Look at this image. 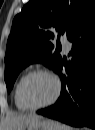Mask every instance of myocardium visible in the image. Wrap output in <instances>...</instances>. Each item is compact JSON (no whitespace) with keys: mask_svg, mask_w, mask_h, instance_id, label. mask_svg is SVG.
I'll return each instance as SVG.
<instances>
[{"mask_svg":"<svg viewBox=\"0 0 95 130\" xmlns=\"http://www.w3.org/2000/svg\"><path fill=\"white\" fill-rule=\"evenodd\" d=\"M37 74H43V75H46L48 77H50L52 79V81L54 82L55 84V93L53 95V97L47 101L46 103H43L41 105H37V106H34V105H31L29 104L25 98H24V95H23V88L26 84V82L34 75H37ZM60 92H61V83H60V80L58 79V77L52 73L51 71L47 70V69H34L32 71H30L29 73H27L20 85H19V89H18V98H19V101L20 103L25 107L27 108L28 110H39L41 108H44V107H47V106H50L52 105L53 103L56 102V100L58 99L59 95H60Z\"/></svg>","mask_w":95,"mask_h":130,"instance_id":"myocardium-1","label":"myocardium"}]
</instances>
